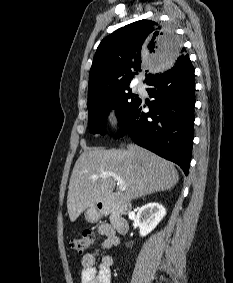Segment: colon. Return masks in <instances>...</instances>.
<instances>
[{
    "instance_id": "1",
    "label": "colon",
    "mask_w": 233,
    "mask_h": 283,
    "mask_svg": "<svg viewBox=\"0 0 233 283\" xmlns=\"http://www.w3.org/2000/svg\"><path fill=\"white\" fill-rule=\"evenodd\" d=\"M94 239H95L94 231L88 229L85 230L80 236L73 239L70 242V247L79 253H83L91 246Z\"/></svg>"
}]
</instances>
